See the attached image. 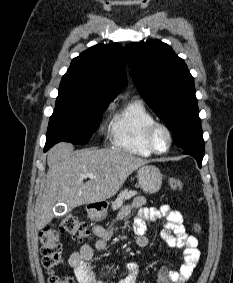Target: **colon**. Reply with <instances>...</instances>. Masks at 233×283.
I'll return each mask as SVG.
<instances>
[{"mask_svg": "<svg viewBox=\"0 0 233 283\" xmlns=\"http://www.w3.org/2000/svg\"><path fill=\"white\" fill-rule=\"evenodd\" d=\"M169 187L174 191H181L183 183L180 179H169ZM195 230L201 233V225L195 223ZM70 234L77 241H83L89 235L87 225L77 217L69 215L58 224L45 226L39 234L43 266L49 273V283H75L70 276H62L55 273V268L62 264L61 234Z\"/></svg>", "mask_w": 233, "mask_h": 283, "instance_id": "1", "label": "colon"}]
</instances>
